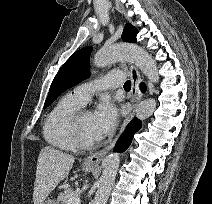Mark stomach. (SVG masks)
<instances>
[{
  "instance_id": "0dacf381",
  "label": "stomach",
  "mask_w": 212,
  "mask_h": 204,
  "mask_svg": "<svg viewBox=\"0 0 212 204\" xmlns=\"http://www.w3.org/2000/svg\"><path fill=\"white\" fill-rule=\"evenodd\" d=\"M83 169L87 172H90L94 169L93 166H84ZM43 204H58V202L56 200H53V199H48L46 201L43 202Z\"/></svg>"
}]
</instances>
